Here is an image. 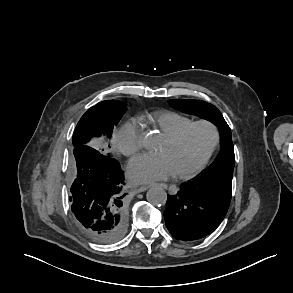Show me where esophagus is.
I'll return each instance as SVG.
<instances>
[{
	"label": "esophagus",
	"mask_w": 293,
	"mask_h": 293,
	"mask_svg": "<svg viewBox=\"0 0 293 293\" xmlns=\"http://www.w3.org/2000/svg\"><path fill=\"white\" fill-rule=\"evenodd\" d=\"M152 185H149V186H140L138 189H137V192L140 193V192H144L146 191L148 188H150ZM158 186H160L161 188L163 189H167L168 188V185L166 184H158Z\"/></svg>",
	"instance_id": "1"
}]
</instances>
